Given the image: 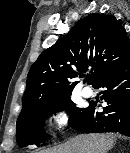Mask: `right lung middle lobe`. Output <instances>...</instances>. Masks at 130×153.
Wrapping results in <instances>:
<instances>
[{
    "instance_id": "right-lung-middle-lobe-1",
    "label": "right lung middle lobe",
    "mask_w": 130,
    "mask_h": 153,
    "mask_svg": "<svg viewBox=\"0 0 130 153\" xmlns=\"http://www.w3.org/2000/svg\"><path fill=\"white\" fill-rule=\"evenodd\" d=\"M68 108V112L73 115L69 119V125L81 114L84 108H77L70 100V95L59 98L49 103L36 106L24 114L20 115L16 123V138L20 147L30 144L44 143L49 140V136L44 131V122L52 114Z\"/></svg>"
}]
</instances>
